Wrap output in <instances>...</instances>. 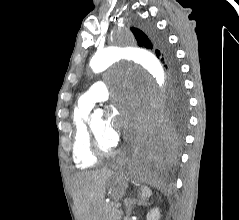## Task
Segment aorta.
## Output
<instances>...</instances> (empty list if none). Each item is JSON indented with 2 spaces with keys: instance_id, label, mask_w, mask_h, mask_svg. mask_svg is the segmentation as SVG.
Instances as JSON below:
<instances>
[{
  "instance_id": "762f6f07",
  "label": "aorta",
  "mask_w": 239,
  "mask_h": 220,
  "mask_svg": "<svg viewBox=\"0 0 239 220\" xmlns=\"http://www.w3.org/2000/svg\"><path fill=\"white\" fill-rule=\"evenodd\" d=\"M120 59L134 61V65H142L147 70L148 76L160 89L166 85L164 69L153 52L149 51V48H127L126 45H111L95 53L90 61V66L95 73H99ZM102 114L100 109L94 112L96 117H100Z\"/></svg>"
}]
</instances>
